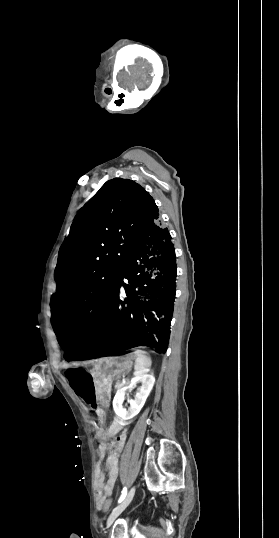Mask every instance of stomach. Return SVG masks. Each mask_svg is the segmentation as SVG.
<instances>
[{
	"mask_svg": "<svg viewBox=\"0 0 279 538\" xmlns=\"http://www.w3.org/2000/svg\"><path fill=\"white\" fill-rule=\"evenodd\" d=\"M133 362L132 353H108L107 358H100L96 369L97 382L96 398L100 404L105 405L111 394L110 382H116L118 375L131 368Z\"/></svg>",
	"mask_w": 279,
	"mask_h": 538,
	"instance_id": "1",
	"label": "stomach"
}]
</instances>
